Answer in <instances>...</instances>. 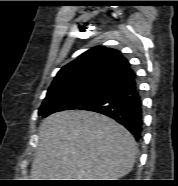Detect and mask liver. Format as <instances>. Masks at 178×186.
<instances>
[{"label":"liver","mask_w":178,"mask_h":186,"mask_svg":"<svg viewBox=\"0 0 178 186\" xmlns=\"http://www.w3.org/2000/svg\"><path fill=\"white\" fill-rule=\"evenodd\" d=\"M138 148L122 125L82 110L54 113L38 132L32 180H117L133 168Z\"/></svg>","instance_id":"1"}]
</instances>
